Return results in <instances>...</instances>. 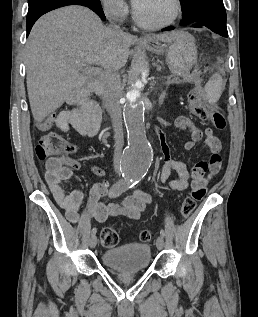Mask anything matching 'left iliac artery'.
Returning a JSON list of instances; mask_svg holds the SVG:
<instances>
[{
    "instance_id": "44dca946",
    "label": "left iliac artery",
    "mask_w": 258,
    "mask_h": 317,
    "mask_svg": "<svg viewBox=\"0 0 258 317\" xmlns=\"http://www.w3.org/2000/svg\"><path fill=\"white\" fill-rule=\"evenodd\" d=\"M142 177H133L132 178V183L133 185L138 184L141 181ZM160 235L164 238L165 237V232L163 229H160Z\"/></svg>"
}]
</instances>
